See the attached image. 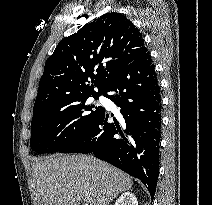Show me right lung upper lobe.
<instances>
[{"label": "right lung upper lobe", "mask_w": 212, "mask_h": 205, "mask_svg": "<svg viewBox=\"0 0 212 205\" xmlns=\"http://www.w3.org/2000/svg\"><path fill=\"white\" fill-rule=\"evenodd\" d=\"M147 51L142 34L123 14L100 16L61 40L47 59L33 111L102 93L123 68Z\"/></svg>", "instance_id": "1"}]
</instances>
